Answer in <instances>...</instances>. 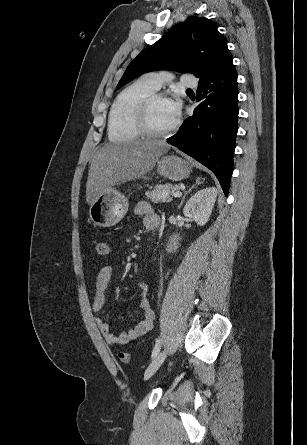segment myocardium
Instances as JSON below:
<instances>
[{
    "label": "myocardium",
    "instance_id": "1",
    "mask_svg": "<svg viewBox=\"0 0 307 445\" xmlns=\"http://www.w3.org/2000/svg\"><path fill=\"white\" fill-rule=\"evenodd\" d=\"M158 99H164L165 96L159 91L155 90L153 93L149 94L138 106V117L140 121L141 128L143 130V134L147 135L145 139H158L161 136H170L174 132L177 131L179 127V121L175 120L174 124L164 131L155 130L150 123L149 119V111L151 105L154 101Z\"/></svg>",
    "mask_w": 307,
    "mask_h": 445
}]
</instances>
